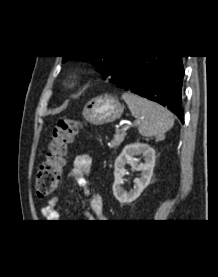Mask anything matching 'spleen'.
Returning <instances> with one entry per match:
<instances>
[{"label": "spleen", "instance_id": "1", "mask_svg": "<svg viewBox=\"0 0 218 277\" xmlns=\"http://www.w3.org/2000/svg\"><path fill=\"white\" fill-rule=\"evenodd\" d=\"M122 98L132 115L141 120L138 131L142 136L163 138L164 134L173 127L172 113L159 104L130 92L124 93Z\"/></svg>", "mask_w": 218, "mask_h": 277}]
</instances>
